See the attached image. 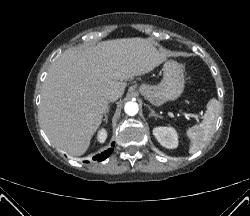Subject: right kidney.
<instances>
[{
	"instance_id": "ca27d5eb",
	"label": "right kidney",
	"mask_w": 250,
	"mask_h": 216,
	"mask_svg": "<svg viewBox=\"0 0 250 216\" xmlns=\"http://www.w3.org/2000/svg\"><path fill=\"white\" fill-rule=\"evenodd\" d=\"M107 138V132L106 130L103 128L101 129L99 132H98V135H97V140L100 142V143H104L105 140Z\"/></svg>"
}]
</instances>
